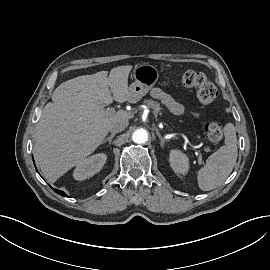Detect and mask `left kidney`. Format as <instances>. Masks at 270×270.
Here are the masks:
<instances>
[{
    "instance_id": "5707ae66",
    "label": "left kidney",
    "mask_w": 270,
    "mask_h": 270,
    "mask_svg": "<svg viewBox=\"0 0 270 270\" xmlns=\"http://www.w3.org/2000/svg\"><path fill=\"white\" fill-rule=\"evenodd\" d=\"M170 166L177 174L186 175L189 171V158L180 150L173 149L169 154Z\"/></svg>"
}]
</instances>
